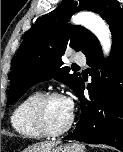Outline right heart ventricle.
Returning a JSON list of instances; mask_svg holds the SVG:
<instances>
[{
    "instance_id": "obj_1",
    "label": "right heart ventricle",
    "mask_w": 123,
    "mask_h": 152,
    "mask_svg": "<svg viewBox=\"0 0 123 152\" xmlns=\"http://www.w3.org/2000/svg\"><path fill=\"white\" fill-rule=\"evenodd\" d=\"M41 95L39 91L30 93L18 103L11 114L13 129L25 138L39 139L43 137L32 121L33 106Z\"/></svg>"
}]
</instances>
